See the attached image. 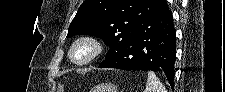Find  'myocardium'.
<instances>
[{"mask_svg": "<svg viewBox=\"0 0 225 92\" xmlns=\"http://www.w3.org/2000/svg\"><path fill=\"white\" fill-rule=\"evenodd\" d=\"M79 47H84L88 50L87 54L82 58H77L75 52ZM102 43L93 36H81L77 38L70 46L68 56L70 61L76 66H85L93 62L101 53Z\"/></svg>", "mask_w": 225, "mask_h": 92, "instance_id": "f54148a6", "label": "myocardium"}]
</instances>
